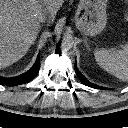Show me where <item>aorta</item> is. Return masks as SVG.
I'll use <instances>...</instances> for the list:
<instances>
[{
    "mask_svg": "<svg viewBox=\"0 0 128 128\" xmlns=\"http://www.w3.org/2000/svg\"><path fill=\"white\" fill-rule=\"evenodd\" d=\"M59 46L62 50L67 51L73 46V39L71 36L65 35L61 40H59Z\"/></svg>",
    "mask_w": 128,
    "mask_h": 128,
    "instance_id": "762f6f07",
    "label": "aorta"
}]
</instances>
